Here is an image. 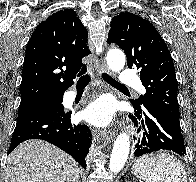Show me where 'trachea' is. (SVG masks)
Returning a JSON list of instances; mask_svg holds the SVG:
<instances>
[{"label":"trachea","instance_id":"obj_1","mask_svg":"<svg viewBox=\"0 0 196 182\" xmlns=\"http://www.w3.org/2000/svg\"><path fill=\"white\" fill-rule=\"evenodd\" d=\"M102 78L109 83L112 86H119V87H125L121 83L117 82L115 79H113L111 76H109L106 73L102 74ZM90 75H83L78 79L77 85H87L90 82Z\"/></svg>","mask_w":196,"mask_h":182}]
</instances>
